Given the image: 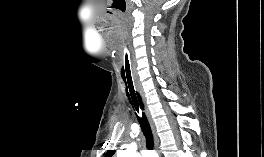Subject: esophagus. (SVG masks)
<instances>
[{
    "mask_svg": "<svg viewBox=\"0 0 264 157\" xmlns=\"http://www.w3.org/2000/svg\"><path fill=\"white\" fill-rule=\"evenodd\" d=\"M137 90L141 94L142 101H143V104H144V110H145V113H146V115L148 117L149 123H150L151 128H152V132H153V136H154L155 149L158 151L159 140H158V137H157V134H156L154 122L152 120V117H151V114H150V111L148 109V106H147V103H146V100H145V97H144L143 93L139 89H137Z\"/></svg>",
    "mask_w": 264,
    "mask_h": 157,
    "instance_id": "esophagus-1",
    "label": "esophagus"
}]
</instances>
